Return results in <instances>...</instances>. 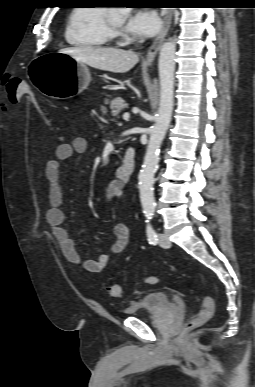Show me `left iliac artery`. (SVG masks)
Returning a JSON list of instances; mask_svg holds the SVG:
<instances>
[{
    "label": "left iliac artery",
    "instance_id": "44dca946",
    "mask_svg": "<svg viewBox=\"0 0 255 387\" xmlns=\"http://www.w3.org/2000/svg\"><path fill=\"white\" fill-rule=\"evenodd\" d=\"M148 219H150V218H148ZM146 222H147L146 234H147L148 242L151 245H156L157 244V240H158L156 232L153 229V227H152L151 223L149 222V220H147Z\"/></svg>",
    "mask_w": 255,
    "mask_h": 387
}]
</instances>
